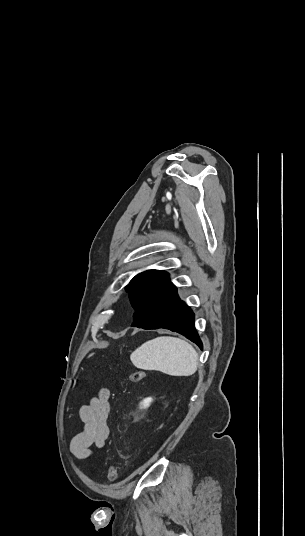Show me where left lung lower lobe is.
Instances as JSON below:
<instances>
[{
    "label": "left lung lower lobe",
    "instance_id": "obj_1",
    "mask_svg": "<svg viewBox=\"0 0 305 536\" xmlns=\"http://www.w3.org/2000/svg\"><path fill=\"white\" fill-rule=\"evenodd\" d=\"M131 326L143 329L166 328L184 335L202 349V342L194 327V313L180 300L172 283L135 310Z\"/></svg>",
    "mask_w": 305,
    "mask_h": 536
}]
</instances>
